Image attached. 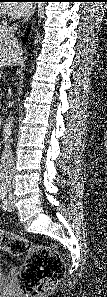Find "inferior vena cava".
Returning a JSON list of instances; mask_svg holds the SVG:
<instances>
[{"instance_id":"inferior-vena-cava-1","label":"inferior vena cava","mask_w":107,"mask_h":297,"mask_svg":"<svg viewBox=\"0 0 107 297\" xmlns=\"http://www.w3.org/2000/svg\"><path fill=\"white\" fill-rule=\"evenodd\" d=\"M16 30H17V25H13L10 27L3 26L0 31V36L3 38H9L12 42H16V39L14 38V33ZM13 165H14V161H13L12 152L9 150H6L4 158L2 160V172H4L8 183L11 182L13 178V172H14Z\"/></svg>"}]
</instances>
